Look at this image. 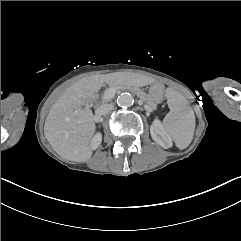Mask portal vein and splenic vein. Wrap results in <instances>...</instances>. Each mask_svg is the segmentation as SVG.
<instances>
[{"label":"portal vein and splenic vein","instance_id":"18ae733b","mask_svg":"<svg viewBox=\"0 0 241 241\" xmlns=\"http://www.w3.org/2000/svg\"><path fill=\"white\" fill-rule=\"evenodd\" d=\"M116 90L115 88H110L108 91L105 92V95H104V99H111L115 96V93H116ZM83 111V109H78L76 112H81Z\"/></svg>","mask_w":241,"mask_h":241}]
</instances>
